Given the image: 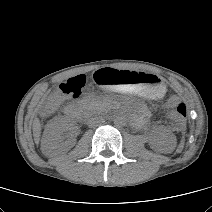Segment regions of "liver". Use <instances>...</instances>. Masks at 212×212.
<instances>
[{
  "label": "liver",
  "instance_id": "6515ba94",
  "mask_svg": "<svg viewBox=\"0 0 212 212\" xmlns=\"http://www.w3.org/2000/svg\"><path fill=\"white\" fill-rule=\"evenodd\" d=\"M41 135V123L38 118H35L33 121V137L36 144L39 143Z\"/></svg>",
  "mask_w": 212,
  "mask_h": 212
}]
</instances>
